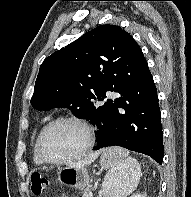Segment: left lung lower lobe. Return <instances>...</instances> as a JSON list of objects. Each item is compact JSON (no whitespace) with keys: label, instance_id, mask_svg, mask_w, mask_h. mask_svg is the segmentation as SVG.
Segmentation results:
<instances>
[{"label":"left lung lower lobe","instance_id":"obj_1","mask_svg":"<svg viewBox=\"0 0 191 197\" xmlns=\"http://www.w3.org/2000/svg\"><path fill=\"white\" fill-rule=\"evenodd\" d=\"M108 99L90 120L96 126L95 150L121 146L163 160V132L157 90L152 75L145 67L128 70L118 79Z\"/></svg>","mask_w":191,"mask_h":197}]
</instances>
